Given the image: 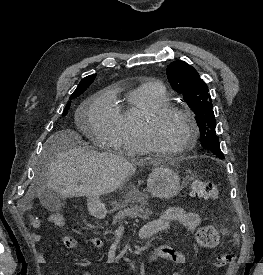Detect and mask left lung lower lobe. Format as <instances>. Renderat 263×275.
I'll return each mask as SVG.
<instances>
[{"instance_id":"1","label":"left lung lower lobe","mask_w":263,"mask_h":275,"mask_svg":"<svg viewBox=\"0 0 263 275\" xmlns=\"http://www.w3.org/2000/svg\"><path fill=\"white\" fill-rule=\"evenodd\" d=\"M217 156V155H216ZM218 158H220V159H224V155H219V156H217Z\"/></svg>"}]
</instances>
